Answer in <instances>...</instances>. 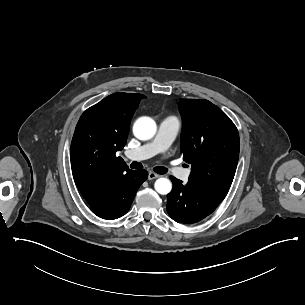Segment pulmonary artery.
<instances>
[{
    "label": "pulmonary artery",
    "mask_w": 305,
    "mask_h": 305,
    "mask_svg": "<svg viewBox=\"0 0 305 305\" xmlns=\"http://www.w3.org/2000/svg\"><path fill=\"white\" fill-rule=\"evenodd\" d=\"M178 128L179 123L175 117H166L162 119L153 139L130 152L128 157L133 160H140L144 158V156L151 157L164 153L173 143L177 135ZM167 168L171 175L184 180H187L191 173V169H178L173 161L168 162Z\"/></svg>",
    "instance_id": "e3ab8cb5"
}]
</instances>
